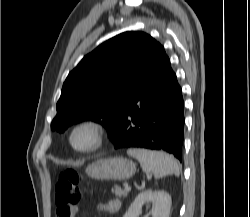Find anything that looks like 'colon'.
<instances>
[{
  "label": "colon",
  "instance_id": "colon-1",
  "mask_svg": "<svg viewBox=\"0 0 250 217\" xmlns=\"http://www.w3.org/2000/svg\"><path fill=\"white\" fill-rule=\"evenodd\" d=\"M82 176L74 170L62 172L55 185V203L59 217H67L79 203Z\"/></svg>",
  "mask_w": 250,
  "mask_h": 217
}]
</instances>
